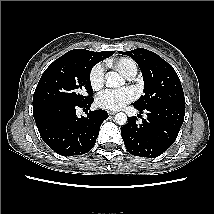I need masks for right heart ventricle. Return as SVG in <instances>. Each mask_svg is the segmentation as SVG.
I'll return each instance as SVG.
<instances>
[{
	"label": "right heart ventricle",
	"instance_id": "1",
	"mask_svg": "<svg viewBox=\"0 0 214 214\" xmlns=\"http://www.w3.org/2000/svg\"><path fill=\"white\" fill-rule=\"evenodd\" d=\"M113 66L126 77H129L133 73H137L136 63L128 57L118 59L113 63Z\"/></svg>",
	"mask_w": 214,
	"mask_h": 214
}]
</instances>
